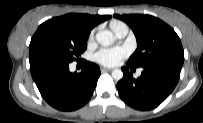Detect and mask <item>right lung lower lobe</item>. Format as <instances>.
<instances>
[{"label": "right lung lower lobe", "mask_w": 203, "mask_h": 123, "mask_svg": "<svg viewBox=\"0 0 203 123\" xmlns=\"http://www.w3.org/2000/svg\"><path fill=\"white\" fill-rule=\"evenodd\" d=\"M39 92L48 104L61 111L76 110L91 98L100 76L99 67L85 62L80 73L69 71V63L52 57L29 59Z\"/></svg>", "instance_id": "98d812e1"}]
</instances>
